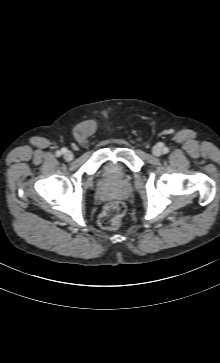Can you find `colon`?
<instances>
[{
    "instance_id": "1",
    "label": "colon",
    "mask_w": 220,
    "mask_h": 363,
    "mask_svg": "<svg viewBox=\"0 0 220 363\" xmlns=\"http://www.w3.org/2000/svg\"><path fill=\"white\" fill-rule=\"evenodd\" d=\"M125 210V204L122 201L107 203L99 216V225L106 230H116L121 224Z\"/></svg>"
}]
</instances>
